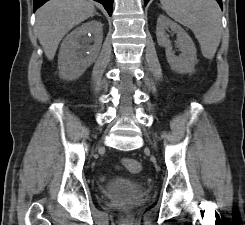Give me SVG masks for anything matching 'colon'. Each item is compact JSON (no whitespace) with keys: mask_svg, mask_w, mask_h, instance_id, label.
I'll return each instance as SVG.
<instances>
[{"mask_svg":"<svg viewBox=\"0 0 245 225\" xmlns=\"http://www.w3.org/2000/svg\"><path fill=\"white\" fill-rule=\"evenodd\" d=\"M121 168L128 173H138L142 169V164L135 159L125 158L121 161Z\"/></svg>","mask_w":245,"mask_h":225,"instance_id":"5ec220e1","label":"colon"}]
</instances>
